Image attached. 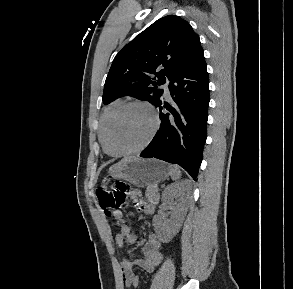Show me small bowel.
<instances>
[{"label": "small bowel", "instance_id": "obj_1", "mask_svg": "<svg viewBox=\"0 0 293 289\" xmlns=\"http://www.w3.org/2000/svg\"><path fill=\"white\" fill-rule=\"evenodd\" d=\"M139 202L138 208L141 209L144 214H154V206L145 204L142 200L137 199ZM115 220L122 222L124 220L123 212L116 210L113 213ZM115 242L120 248L125 244H135L137 242L136 233L132 228L123 224L120 227L119 232L115 237ZM162 243L155 233H151L148 237V241L142 245L143 256L136 259L134 262L124 259L121 263V276L124 285L128 288H134L138 285V276L133 271V265L136 264L145 271L151 272L157 267L163 260V254L161 252Z\"/></svg>", "mask_w": 293, "mask_h": 289}]
</instances>
